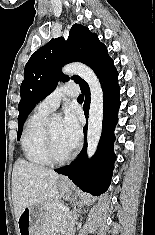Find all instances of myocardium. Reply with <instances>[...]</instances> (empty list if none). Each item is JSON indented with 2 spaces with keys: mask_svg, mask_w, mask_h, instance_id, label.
I'll return each mask as SVG.
<instances>
[{
  "mask_svg": "<svg viewBox=\"0 0 155 235\" xmlns=\"http://www.w3.org/2000/svg\"><path fill=\"white\" fill-rule=\"evenodd\" d=\"M44 152H45V155H46L48 161L51 162V163H55V164L66 163L73 156L72 152H70L69 154H67L66 156H63V157H59V156L56 155V153L54 151V147H53V140H52L49 125H47L46 128H45Z\"/></svg>",
  "mask_w": 155,
  "mask_h": 235,
  "instance_id": "myocardium-1",
  "label": "myocardium"
}]
</instances>
